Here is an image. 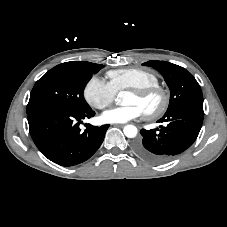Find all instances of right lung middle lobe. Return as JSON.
I'll return each mask as SVG.
<instances>
[{
  "mask_svg": "<svg viewBox=\"0 0 227 227\" xmlns=\"http://www.w3.org/2000/svg\"><path fill=\"white\" fill-rule=\"evenodd\" d=\"M103 65L85 61H70L49 70L34 85L27 113L52 107L82 111L90 108L83 96L87 79Z\"/></svg>",
  "mask_w": 227,
  "mask_h": 227,
  "instance_id": "right-lung-middle-lobe-1",
  "label": "right lung middle lobe"
}]
</instances>
